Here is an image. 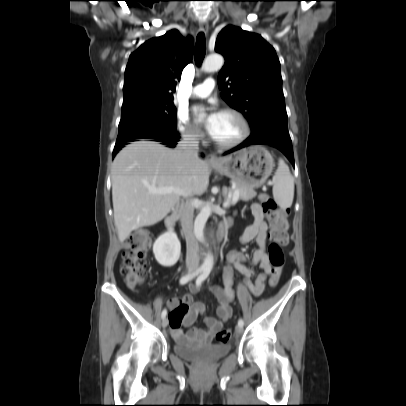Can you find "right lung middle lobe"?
I'll list each match as a JSON object with an SVG mask.
<instances>
[{
    "label": "right lung middle lobe",
    "instance_id": "1",
    "mask_svg": "<svg viewBox=\"0 0 406 406\" xmlns=\"http://www.w3.org/2000/svg\"><path fill=\"white\" fill-rule=\"evenodd\" d=\"M176 132L173 103L143 102L122 107L117 142L153 138Z\"/></svg>",
    "mask_w": 406,
    "mask_h": 406
}]
</instances>
